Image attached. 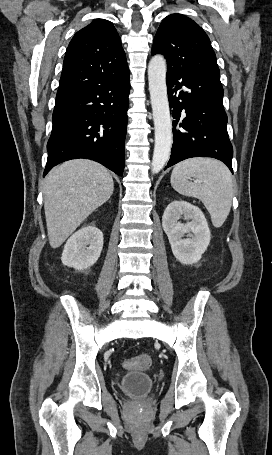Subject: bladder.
<instances>
[{
  "label": "bladder",
  "mask_w": 272,
  "mask_h": 455,
  "mask_svg": "<svg viewBox=\"0 0 272 455\" xmlns=\"http://www.w3.org/2000/svg\"><path fill=\"white\" fill-rule=\"evenodd\" d=\"M119 388L124 394L129 396L145 395L152 390L153 380L146 373L132 371L123 375Z\"/></svg>",
  "instance_id": "1"
}]
</instances>
